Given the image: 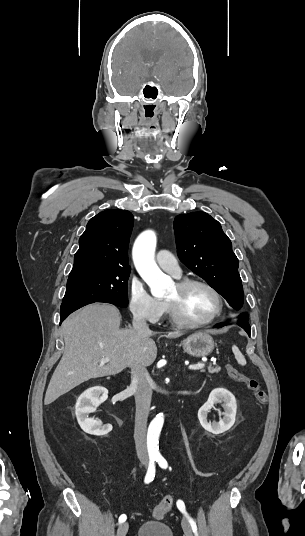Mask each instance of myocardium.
<instances>
[{"instance_id": "myocardium-1", "label": "myocardium", "mask_w": 305, "mask_h": 536, "mask_svg": "<svg viewBox=\"0 0 305 536\" xmlns=\"http://www.w3.org/2000/svg\"><path fill=\"white\" fill-rule=\"evenodd\" d=\"M176 285L182 291L188 290L196 285L204 286L210 289L218 297L219 302H220V308L214 316H212L211 318L205 321L193 322V321L188 320L184 316V314L182 313L181 309L178 306L166 300L165 302L168 307L169 313L177 324L183 327H187V328H204V327L212 325L213 323L218 321L220 318H222V316L225 314L226 309H227L226 299L224 295L222 294V292L210 282L200 279V278H185V279L177 281Z\"/></svg>"}]
</instances>
